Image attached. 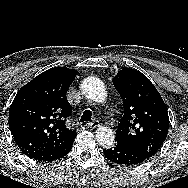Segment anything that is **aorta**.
I'll return each mask as SVG.
<instances>
[{"label": "aorta", "instance_id": "1", "mask_svg": "<svg viewBox=\"0 0 188 188\" xmlns=\"http://www.w3.org/2000/svg\"><path fill=\"white\" fill-rule=\"evenodd\" d=\"M84 95L97 102L104 101L106 98V88L104 83L95 77H88L83 80L81 85ZM97 141L104 147H109L113 144L115 134L111 128L101 126L96 130Z\"/></svg>", "mask_w": 188, "mask_h": 188}]
</instances>
